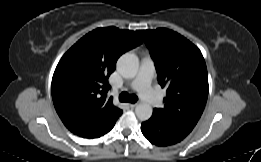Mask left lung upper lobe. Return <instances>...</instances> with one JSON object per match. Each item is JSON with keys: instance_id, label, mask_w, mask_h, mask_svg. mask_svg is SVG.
Masks as SVG:
<instances>
[{"instance_id": "5c2ea615", "label": "left lung upper lobe", "mask_w": 261, "mask_h": 162, "mask_svg": "<svg viewBox=\"0 0 261 162\" xmlns=\"http://www.w3.org/2000/svg\"><path fill=\"white\" fill-rule=\"evenodd\" d=\"M137 33L155 62L159 84L167 89L164 108L153 111L162 119L192 131L208 97L207 68L201 51L182 35L166 28Z\"/></svg>"}]
</instances>
